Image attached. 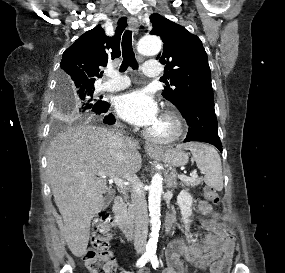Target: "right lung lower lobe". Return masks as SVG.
Here are the masks:
<instances>
[{
	"mask_svg": "<svg viewBox=\"0 0 285 273\" xmlns=\"http://www.w3.org/2000/svg\"><path fill=\"white\" fill-rule=\"evenodd\" d=\"M109 107L110 104L103 101L102 104L98 107V110L95 112V114L105 113L108 111ZM103 121L108 124H113L115 122V118L112 114H109L105 116Z\"/></svg>",
	"mask_w": 285,
	"mask_h": 273,
	"instance_id": "1",
	"label": "right lung lower lobe"
}]
</instances>
